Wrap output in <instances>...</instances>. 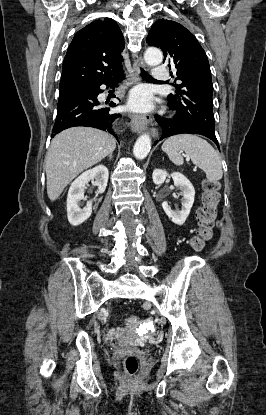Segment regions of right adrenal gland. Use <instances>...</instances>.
<instances>
[{
	"instance_id": "1",
	"label": "right adrenal gland",
	"mask_w": 266,
	"mask_h": 415,
	"mask_svg": "<svg viewBox=\"0 0 266 415\" xmlns=\"http://www.w3.org/2000/svg\"><path fill=\"white\" fill-rule=\"evenodd\" d=\"M108 157H109V160H111L112 159V154H110Z\"/></svg>"
}]
</instances>
